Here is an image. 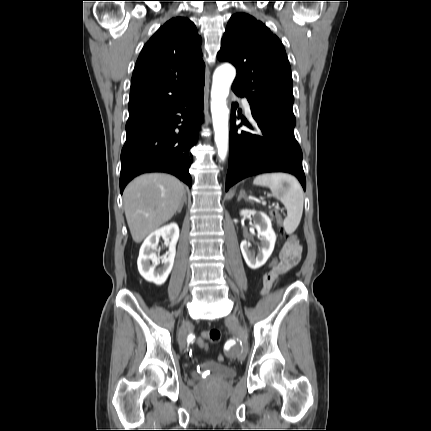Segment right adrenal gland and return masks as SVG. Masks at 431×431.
<instances>
[{
    "label": "right adrenal gland",
    "instance_id": "right-adrenal-gland-1",
    "mask_svg": "<svg viewBox=\"0 0 431 431\" xmlns=\"http://www.w3.org/2000/svg\"><path fill=\"white\" fill-rule=\"evenodd\" d=\"M184 204H187V197H186V193H184V196H183L182 202H181V204H180V207L178 208V213H180V212H181V210H182V208H183V205H184Z\"/></svg>",
    "mask_w": 431,
    "mask_h": 431
}]
</instances>
